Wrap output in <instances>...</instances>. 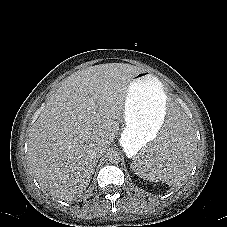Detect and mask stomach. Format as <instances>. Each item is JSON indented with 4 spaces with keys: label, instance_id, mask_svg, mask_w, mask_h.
I'll list each match as a JSON object with an SVG mask.
<instances>
[{
    "label": "stomach",
    "instance_id": "obj_1",
    "mask_svg": "<svg viewBox=\"0 0 227 227\" xmlns=\"http://www.w3.org/2000/svg\"><path fill=\"white\" fill-rule=\"evenodd\" d=\"M167 96L160 80L147 71L136 74L127 92L121 144L131 158L142 148L163 140Z\"/></svg>",
    "mask_w": 227,
    "mask_h": 227
}]
</instances>
